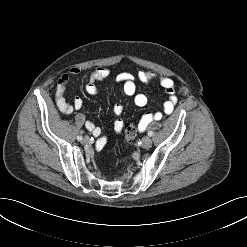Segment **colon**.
I'll use <instances>...</instances> for the list:
<instances>
[{
    "mask_svg": "<svg viewBox=\"0 0 247 247\" xmlns=\"http://www.w3.org/2000/svg\"><path fill=\"white\" fill-rule=\"evenodd\" d=\"M125 142L130 144L136 137L137 128L134 124L128 123L124 126Z\"/></svg>",
    "mask_w": 247,
    "mask_h": 247,
    "instance_id": "1",
    "label": "colon"
}]
</instances>
